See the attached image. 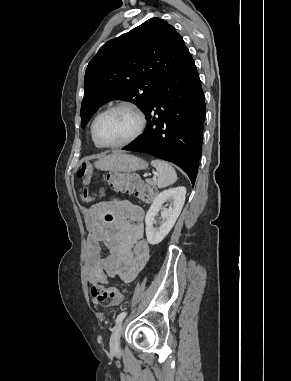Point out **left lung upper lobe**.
<instances>
[{
	"label": "left lung upper lobe",
	"mask_w": 291,
	"mask_h": 381,
	"mask_svg": "<svg viewBox=\"0 0 291 381\" xmlns=\"http://www.w3.org/2000/svg\"><path fill=\"white\" fill-rule=\"evenodd\" d=\"M187 51L175 28L159 18L106 42L85 72L82 127L100 106L114 99L135 103L144 112Z\"/></svg>",
	"instance_id": "obj_1"
}]
</instances>
